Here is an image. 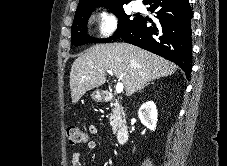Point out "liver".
Listing matches in <instances>:
<instances>
[{
  "label": "liver",
  "instance_id": "liver-1",
  "mask_svg": "<svg viewBox=\"0 0 227 166\" xmlns=\"http://www.w3.org/2000/svg\"><path fill=\"white\" fill-rule=\"evenodd\" d=\"M177 68L174 63L131 44H97L73 62L72 103L76 104L87 91L102 86L107 70L122 81L126 95L130 96L148 82L174 74Z\"/></svg>",
  "mask_w": 227,
  "mask_h": 166
}]
</instances>
